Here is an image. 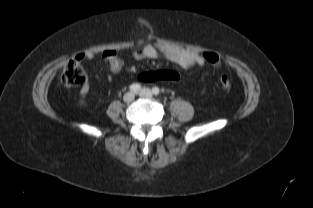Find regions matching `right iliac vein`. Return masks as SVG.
<instances>
[{
    "mask_svg": "<svg viewBox=\"0 0 313 208\" xmlns=\"http://www.w3.org/2000/svg\"><path fill=\"white\" fill-rule=\"evenodd\" d=\"M135 98V95L132 92H128L124 95L123 100L126 103H131Z\"/></svg>",
    "mask_w": 313,
    "mask_h": 208,
    "instance_id": "1",
    "label": "right iliac vein"
}]
</instances>
